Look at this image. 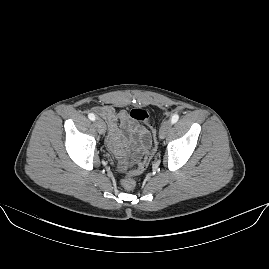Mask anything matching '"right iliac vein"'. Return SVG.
<instances>
[{"label":"right iliac vein","instance_id":"1","mask_svg":"<svg viewBox=\"0 0 269 269\" xmlns=\"http://www.w3.org/2000/svg\"><path fill=\"white\" fill-rule=\"evenodd\" d=\"M95 126H96V128H97V130H98V132L100 134H104L105 133L106 125H105V123H104L103 120H101L100 118H97L95 120Z\"/></svg>","mask_w":269,"mask_h":269}]
</instances>
